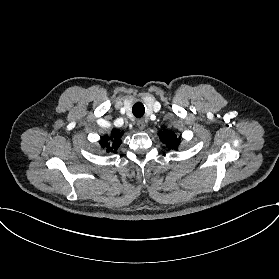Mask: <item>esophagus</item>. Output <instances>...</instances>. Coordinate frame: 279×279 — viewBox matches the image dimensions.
<instances>
[{"instance_id": "1", "label": "esophagus", "mask_w": 279, "mask_h": 279, "mask_svg": "<svg viewBox=\"0 0 279 279\" xmlns=\"http://www.w3.org/2000/svg\"><path fill=\"white\" fill-rule=\"evenodd\" d=\"M137 127H138V129H139L140 131L144 130L145 127H146L145 121L142 120V119H139V120L137 121Z\"/></svg>"}]
</instances>
